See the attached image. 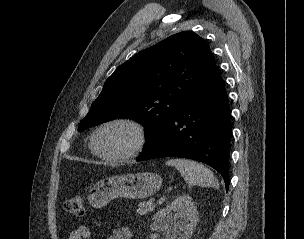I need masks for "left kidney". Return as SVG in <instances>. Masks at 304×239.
Listing matches in <instances>:
<instances>
[{"label": "left kidney", "mask_w": 304, "mask_h": 239, "mask_svg": "<svg viewBox=\"0 0 304 239\" xmlns=\"http://www.w3.org/2000/svg\"><path fill=\"white\" fill-rule=\"evenodd\" d=\"M153 220L155 231L172 233L169 239H176L177 236H180L178 239H190L198 222V211L191 197L183 195L157 212Z\"/></svg>", "instance_id": "1"}]
</instances>
